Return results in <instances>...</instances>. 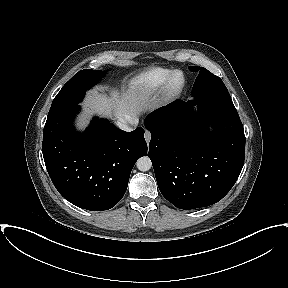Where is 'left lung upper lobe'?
I'll return each instance as SVG.
<instances>
[{
  "label": "left lung upper lobe",
  "instance_id": "1",
  "mask_svg": "<svg viewBox=\"0 0 288 288\" xmlns=\"http://www.w3.org/2000/svg\"><path fill=\"white\" fill-rule=\"evenodd\" d=\"M189 70L199 72L192 89L196 101L236 110L226 86L218 76L203 67L190 66Z\"/></svg>",
  "mask_w": 288,
  "mask_h": 288
}]
</instances>
